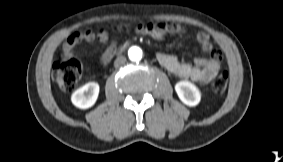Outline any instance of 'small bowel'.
I'll use <instances>...</instances> for the list:
<instances>
[{"instance_id":"c3829d8e","label":"small bowel","mask_w":283,"mask_h":162,"mask_svg":"<svg viewBox=\"0 0 283 162\" xmlns=\"http://www.w3.org/2000/svg\"><path fill=\"white\" fill-rule=\"evenodd\" d=\"M136 31L140 34L148 35L156 40H160L167 34H181L184 32V28L177 23L159 22L138 25ZM95 39L100 43L105 44L108 42L109 36L105 31H101L98 34H95L90 30L76 31L72 33L63 44V60L72 58V50L78 43L82 41L91 42ZM196 40L204 52L211 54L210 58H197L192 65L180 61L175 55L161 52L158 53L157 59L159 63L175 77L180 79H190L194 82L206 84L218 74L220 70L219 60L222 58V55L218 51L213 52V45L207 33H197ZM113 53L114 45L110 44L100 59L101 67L106 68L112 63Z\"/></svg>"}]
</instances>
